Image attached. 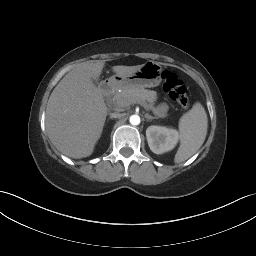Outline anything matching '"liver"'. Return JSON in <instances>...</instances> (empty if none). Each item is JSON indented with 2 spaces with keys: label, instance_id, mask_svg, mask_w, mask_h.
Wrapping results in <instances>:
<instances>
[{
  "label": "liver",
  "instance_id": "6515ba94",
  "mask_svg": "<svg viewBox=\"0 0 256 256\" xmlns=\"http://www.w3.org/2000/svg\"><path fill=\"white\" fill-rule=\"evenodd\" d=\"M105 66L103 61L86 62L67 73L51 93L46 108V130L52 144L62 154L80 159L90 156L101 137L107 107L93 80ZM142 65L113 66L125 76Z\"/></svg>",
  "mask_w": 256,
  "mask_h": 256
}]
</instances>
